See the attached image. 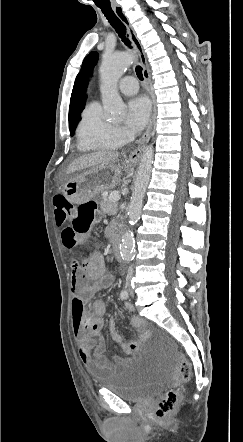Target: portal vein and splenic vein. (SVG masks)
<instances>
[{
  "mask_svg": "<svg viewBox=\"0 0 243 442\" xmlns=\"http://www.w3.org/2000/svg\"><path fill=\"white\" fill-rule=\"evenodd\" d=\"M119 199H120V194H119V192H113V193H111L110 196H109V200H110L111 202H117Z\"/></svg>",
  "mask_w": 243,
  "mask_h": 442,
  "instance_id": "18ae733b",
  "label": "portal vein and splenic vein"
}]
</instances>
